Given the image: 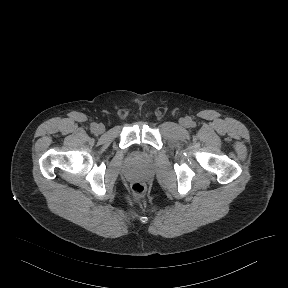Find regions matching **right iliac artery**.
I'll use <instances>...</instances> for the list:
<instances>
[{"mask_svg": "<svg viewBox=\"0 0 288 288\" xmlns=\"http://www.w3.org/2000/svg\"><path fill=\"white\" fill-rule=\"evenodd\" d=\"M96 128H97V124H96V123H93V124L91 125V129H92V130H96Z\"/></svg>", "mask_w": 288, "mask_h": 288, "instance_id": "obj_1", "label": "right iliac artery"}]
</instances>
